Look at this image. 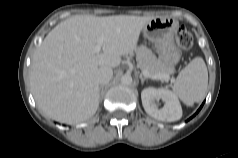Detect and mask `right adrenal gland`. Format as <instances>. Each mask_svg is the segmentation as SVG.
I'll return each mask as SVG.
<instances>
[{
  "mask_svg": "<svg viewBox=\"0 0 238 158\" xmlns=\"http://www.w3.org/2000/svg\"><path fill=\"white\" fill-rule=\"evenodd\" d=\"M103 88H104V85H101L100 86V96L102 97V93H103Z\"/></svg>",
  "mask_w": 238,
  "mask_h": 158,
  "instance_id": "obj_1",
  "label": "right adrenal gland"
}]
</instances>
